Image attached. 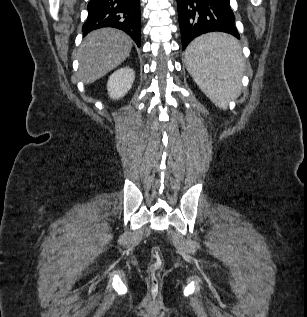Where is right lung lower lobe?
I'll return each instance as SVG.
<instances>
[{"label": "right lung lower lobe", "instance_id": "obj_1", "mask_svg": "<svg viewBox=\"0 0 307 317\" xmlns=\"http://www.w3.org/2000/svg\"><path fill=\"white\" fill-rule=\"evenodd\" d=\"M88 17L83 35L102 27H114L126 32L140 47V3L139 0H90Z\"/></svg>", "mask_w": 307, "mask_h": 317}]
</instances>
